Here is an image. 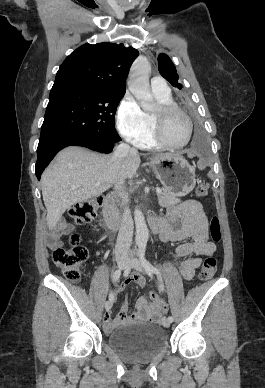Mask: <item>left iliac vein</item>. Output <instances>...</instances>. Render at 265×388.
<instances>
[{
  "label": "left iliac vein",
  "mask_w": 265,
  "mask_h": 388,
  "mask_svg": "<svg viewBox=\"0 0 265 388\" xmlns=\"http://www.w3.org/2000/svg\"><path fill=\"white\" fill-rule=\"evenodd\" d=\"M127 267L128 268H133V269L141 271V272H144V268H143L142 262L139 261L136 258H133V257L128 259ZM162 324H163L164 327L168 328L170 326L171 322L168 320V318L164 317L163 320H162Z\"/></svg>",
  "instance_id": "left-iliac-vein-1"
}]
</instances>
